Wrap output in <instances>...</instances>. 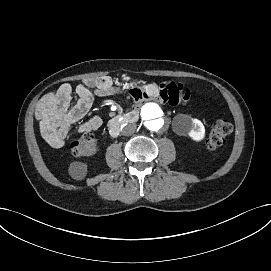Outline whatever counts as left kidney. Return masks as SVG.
I'll return each mask as SVG.
<instances>
[{
  "mask_svg": "<svg viewBox=\"0 0 271 271\" xmlns=\"http://www.w3.org/2000/svg\"><path fill=\"white\" fill-rule=\"evenodd\" d=\"M187 134L195 141H200L205 136V128L198 119H188Z\"/></svg>",
  "mask_w": 271,
  "mask_h": 271,
  "instance_id": "left-kidney-1",
  "label": "left kidney"
}]
</instances>
